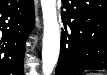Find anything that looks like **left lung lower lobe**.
<instances>
[{"label": "left lung lower lobe", "mask_w": 107, "mask_h": 75, "mask_svg": "<svg viewBox=\"0 0 107 75\" xmlns=\"http://www.w3.org/2000/svg\"><path fill=\"white\" fill-rule=\"evenodd\" d=\"M104 0H62L61 46L55 75H74L84 70H107V3ZM107 1V0H106ZM89 3H102L97 8H84ZM79 15L84 35H67L73 15ZM70 34V32L68 33Z\"/></svg>", "instance_id": "0a47b994"}]
</instances>
